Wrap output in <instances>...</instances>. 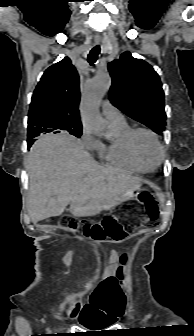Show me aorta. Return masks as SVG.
Returning a JSON list of instances; mask_svg holds the SVG:
<instances>
[{"instance_id": "762f6f07", "label": "aorta", "mask_w": 194, "mask_h": 336, "mask_svg": "<svg viewBox=\"0 0 194 336\" xmlns=\"http://www.w3.org/2000/svg\"><path fill=\"white\" fill-rule=\"evenodd\" d=\"M110 85L111 79L107 74L98 75L90 80L85 88L80 108L84 128L104 138H109L111 131L99 112V104Z\"/></svg>"}]
</instances>
